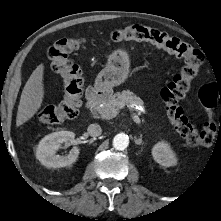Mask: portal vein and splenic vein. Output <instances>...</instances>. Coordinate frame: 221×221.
<instances>
[{"label": "portal vein and splenic vein", "instance_id": "portal-vein-and-splenic-vein-1", "mask_svg": "<svg viewBox=\"0 0 221 221\" xmlns=\"http://www.w3.org/2000/svg\"><path fill=\"white\" fill-rule=\"evenodd\" d=\"M117 114H118V111L116 109L105 110V111L100 112V116H101L102 119H112V118L116 117ZM131 116H132V119L134 120V122L136 124L139 125L141 123L140 118L135 113L131 112Z\"/></svg>", "mask_w": 221, "mask_h": 221}]
</instances>
